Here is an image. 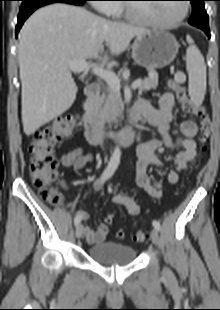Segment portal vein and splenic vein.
Returning <instances> with one entry per match:
<instances>
[{
    "label": "portal vein and splenic vein",
    "mask_w": 220,
    "mask_h": 310,
    "mask_svg": "<svg viewBox=\"0 0 220 310\" xmlns=\"http://www.w3.org/2000/svg\"><path fill=\"white\" fill-rule=\"evenodd\" d=\"M90 68L92 73L105 80L113 91L120 92V80L113 72L107 71L102 67L91 65V63L87 61H75L70 63V70L74 73H80ZM141 82V79H137L132 83L131 88L134 90L137 89L141 85Z\"/></svg>",
    "instance_id": "18ae733b"
}]
</instances>
